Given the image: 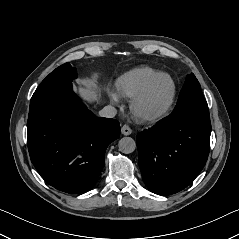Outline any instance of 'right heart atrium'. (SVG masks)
<instances>
[{"instance_id":"right-heart-atrium-1","label":"right heart atrium","mask_w":239,"mask_h":239,"mask_svg":"<svg viewBox=\"0 0 239 239\" xmlns=\"http://www.w3.org/2000/svg\"><path fill=\"white\" fill-rule=\"evenodd\" d=\"M109 99L114 104L119 102V96L115 92H109Z\"/></svg>"}]
</instances>
